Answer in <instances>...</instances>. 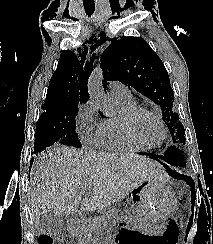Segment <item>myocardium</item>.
<instances>
[{"instance_id": "obj_1", "label": "myocardium", "mask_w": 213, "mask_h": 244, "mask_svg": "<svg viewBox=\"0 0 213 244\" xmlns=\"http://www.w3.org/2000/svg\"><path fill=\"white\" fill-rule=\"evenodd\" d=\"M142 114L150 115L161 126V128L163 130V138L158 144H154V145L148 144V143L144 142L142 139H140V137L137 135L135 128H134V123H135L136 119ZM119 123H120L121 129H122L123 133L125 134V136L133 143H135L145 149H154V148L160 147L167 138V134H168L167 127H166L165 123L163 122V120L161 119V117L156 112H154L148 108H145V107L136 106L135 108L122 111L119 116Z\"/></svg>"}]
</instances>
